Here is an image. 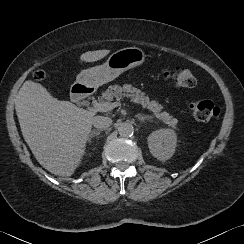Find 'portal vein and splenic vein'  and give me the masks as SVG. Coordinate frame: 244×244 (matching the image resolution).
Masks as SVG:
<instances>
[{"label":"portal vein and splenic vein","mask_w":244,"mask_h":244,"mask_svg":"<svg viewBox=\"0 0 244 244\" xmlns=\"http://www.w3.org/2000/svg\"><path fill=\"white\" fill-rule=\"evenodd\" d=\"M122 104L120 102H107V103H93V108L96 111H100V112H106L109 110H112L115 107L121 106Z\"/></svg>","instance_id":"obj_1"}]
</instances>
